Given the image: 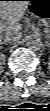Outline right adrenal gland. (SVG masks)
<instances>
[{
  "instance_id": "obj_1",
  "label": "right adrenal gland",
  "mask_w": 50,
  "mask_h": 111,
  "mask_svg": "<svg viewBox=\"0 0 50 111\" xmlns=\"http://www.w3.org/2000/svg\"><path fill=\"white\" fill-rule=\"evenodd\" d=\"M1 44H2V45H3V44L7 45V43H1Z\"/></svg>"
}]
</instances>
